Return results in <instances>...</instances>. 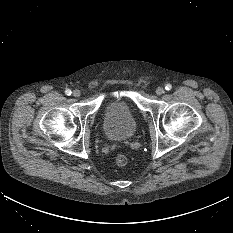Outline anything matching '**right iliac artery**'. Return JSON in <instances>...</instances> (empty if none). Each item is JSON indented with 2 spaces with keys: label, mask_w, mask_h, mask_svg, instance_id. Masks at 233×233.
I'll return each mask as SVG.
<instances>
[{
  "label": "right iliac artery",
  "mask_w": 233,
  "mask_h": 233,
  "mask_svg": "<svg viewBox=\"0 0 233 233\" xmlns=\"http://www.w3.org/2000/svg\"><path fill=\"white\" fill-rule=\"evenodd\" d=\"M71 93H72V92H71L70 89H67V90L65 91V94H66V95H71Z\"/></svg>",
  "instance_id": "obj_1"
}]
</instances>
